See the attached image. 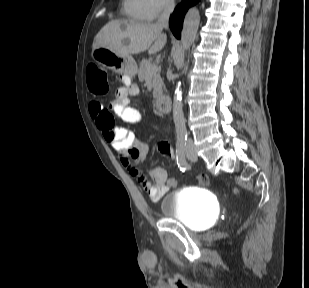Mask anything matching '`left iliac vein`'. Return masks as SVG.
<instances>
[{
    "mask_svg": "<svg viewBox=\"0 0 309 288\" xmlns=\"http://www.w3.org/2000/svg\"><path fill=\"white\" fill-rule=\"evenodd\" d=\"M186 156L192 162L197 160V154L195 150L193 149V147H189V149L186 152Z\"/></svg>",
    "mask_w": 309,
    "mask_h": 288,
    "instance_id": "1",
    "label": "left iliac vein"
}]
</instances>
